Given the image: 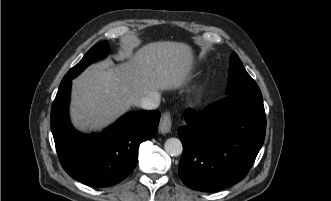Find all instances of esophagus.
Here are the masks:
<instances>
[{"label":"esophagus","mask_w":331,"mask_h":201,"mask_svg":"<svg viewBox=\"0 0 331 201\" xmlns=\"http://www.w3.org/2000/svg\"><path fill=\"white\" fill-rule=\"evenodd\" d=\"M172 126V119L169 112H164L160 119L159 132L166 134L170 132Z\"/></svg>","instance_id":"esophagus-1"}]
</instances>
